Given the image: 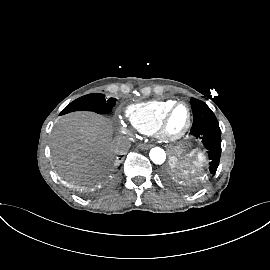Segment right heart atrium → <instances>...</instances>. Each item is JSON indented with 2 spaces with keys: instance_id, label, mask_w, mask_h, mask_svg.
Segmentation results:
<instances>
[{
  "instance_id": "obj_1",
  "label": "right heart atrium",
  "mask_w": 270,
  "mask_h": 270,
  "mask_svg": "<svg viewBox=\"0 0 270 270\" xmlns=\"http://www.w3.org/2000/svg\"><path fill=\"white\" fill-rule=\"evenodd\" d=\"M120 130L125 133V134H132V131L130 130V128H128L126 125L121 124L120 125Z\"/></svg>"
}]
</instances>
